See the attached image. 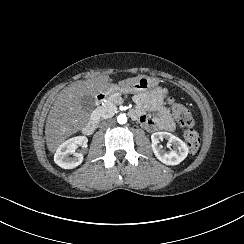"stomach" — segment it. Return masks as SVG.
Returning a JSON list of instances; mask_svg holds the SVG:
<instances>
[{"mask_svg":"<svg viewBox=\"0 0 244 244\" xmlns=\"http://www.w3.org/2000/svg\"><path fill=\"white\" fill-rule=\"evenodd\" d=\"M148 78L146 76L138 77L136 80L127 79L125 81L119 82L117 84H107L106 88L102 91L106 95H110L117 91L126 92V93H134L149 87H156L158 85V81L156 79H152L147 81Z\"/></svg>","mask_w":244,"mask_h":244,"instance_id":"0dacf381","label":"stomach"}]
</instances>
